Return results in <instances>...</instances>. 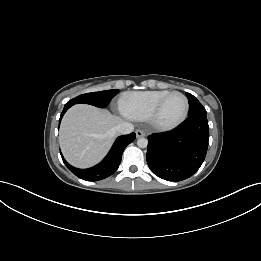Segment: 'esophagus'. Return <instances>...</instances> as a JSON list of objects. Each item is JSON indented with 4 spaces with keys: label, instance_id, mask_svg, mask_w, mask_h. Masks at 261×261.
Listing matches in <instances>:
<instances>
[{
    "label": "esophagus",
    "instance_id": "esophagus-1",
    "mask_svg": "<svg viewBox=\"0 0 261 261\" xmlns=\"http://www.w3.org/2000/svg\"><path fill=\"white\" fill-rule=\"evenodd\" d=\"M145 135L146 134H145V132L143 130H140V129L136 130V137L137 138L144 137Z\"/></svg>",
    "mask_w": 261,
    "mask_h": 261
}]
</instances>
